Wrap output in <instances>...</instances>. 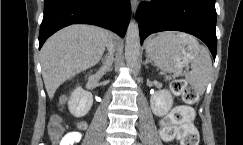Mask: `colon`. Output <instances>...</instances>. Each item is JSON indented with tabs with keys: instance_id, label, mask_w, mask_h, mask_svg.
<instances>
[{
	"instance_id": "5ec220e1",
	"label": "colon",
	"mask_w": 243,
	"mask_h": 145,
	"mask_svg": "<svg viewBox=\"0 0 243 145\" xmlns=\"http://www.w3.org/2000/svg\"><path fill=\"white\" fill-rule=\"evenodd\" d=\"M174 94L180 95L185 105L174 108L160 122V136L164 141L179 139L181 145H198L199 133L193 124L194 113L191 108L198 98L196 90L184 79H175L171 83ZM62 121L58 116L52 117L48 133L54 142L62 135Z\"/></svg>"
}]
</instances>
